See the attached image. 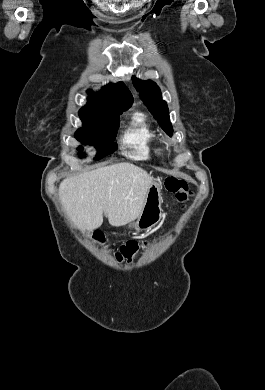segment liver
Listing matches in <instances>:
<instances>
[{"label": "liver", "mask_w": 265, "mask_h": 390, "mask_svg": "<svg viewBox=\"0 0 265 390\" xmlns=\"http://www.w3.org/2000/svg\"><path fill=\"white\" fill-rule=\"evenodd\" d=\"M152 183L145 170L122 162L64 179L59 197L78 229L93 231L102 225L103 213L115 227L137 219Z\"/></svg>", "instance_id": "1"}]
</instances>
